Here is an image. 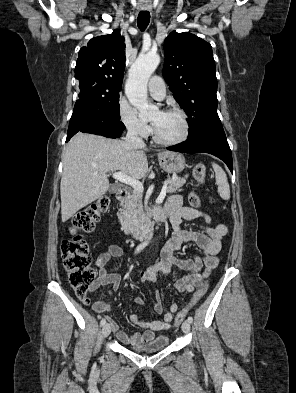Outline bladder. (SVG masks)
Instances as JSON below:
<instances>
[{
  "mask_svg": "<svg viewBox=\"0 0 296 393\" xmlns=\"http://www.w3.org/2000/svg\"><path fill=\"white\" fill-rule=\"evenodd\" d=\"M169 344V337L160 335L140 346H130L129 349L138 353H154L165 349Z\"/></svg>",
  "mask_w": 296,
  "mask_h": 393,
  "instance_id": "1",
  "label": "bladder"
}]
</instances>
